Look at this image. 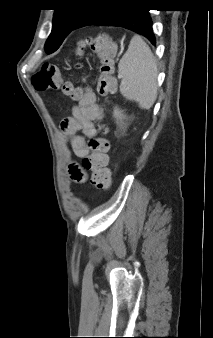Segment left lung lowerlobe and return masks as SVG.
Masks as SVG:
<instances>
[{"label": "left lung lower lobe", "mask_w": 213, "mask_h": 338, "mask_svg": "<svg viewBox=\"0 0 213 338\" xmlns=\"http://www.w3.org/2000/svg\"><path fill=\"white\" fill-rule=\"evenodd\" d=\"M132 2L133 0H109L100 3L92 8L74 29L91 25L123 27L143 35L155 45L149 9L141 8Z\"/></svg>", "instance_id": "obj_1"}]
</instances>
